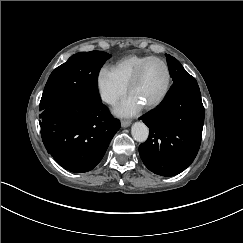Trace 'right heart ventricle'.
Returning a JSON list of instances; mask_svg holds the SVG:
<instances>
[{
  "mask_svg": "<svg viewBox=\"0 0 243 243\" xmlns=\"http://www.w3.org/2000/svg\"><path fill=\"white\" fill-rule=\"evenodd\" d=\"M151 57L154 56L148 54H129L114 62L111 67L118 81L126 87L139 65Z\"/></svg>",
  "mask_w": 243,
  "mask_h": 243,
  "instance_id": "obj_1",
  "label": "right heart ventricle"
}]
</instances>
